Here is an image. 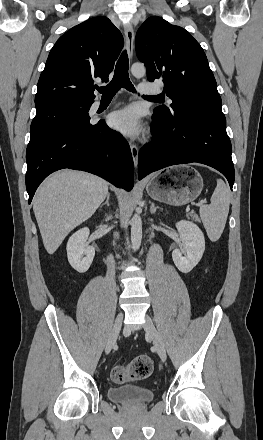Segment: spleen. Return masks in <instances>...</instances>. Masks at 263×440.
<instances>
[{"label": "spleen", "instance_id": "1", "mask_svg": "<svg viewBox=\"0 0 263 440\" xmlns=\"http://www.w3.org/2000/svg\"><path fill=\"white\" fill-rule=\"evenodd\" d=\"M231 193L222 179H217V186L211 196L210 205L200 207V217L209 239L217 241L223 233L229 213Z\"/></svg>", "mask_w": 263, "mask_h": 440}]
</instances>
